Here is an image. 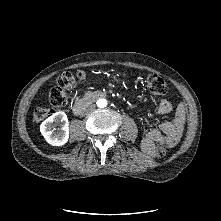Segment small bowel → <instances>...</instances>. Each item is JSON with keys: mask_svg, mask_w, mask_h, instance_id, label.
Here are the masks:
<instances>
[{"mask_svg": "<svg viewBox=\"0 0 221 221\" xmlns=\"http://www.w3.org/2000/svg\"><path fill=\"white\" fill-rule=\"evenodd\" d=\"M172 109L171 103L166 99H161L158 106V115L165 116ZM185 120V107L178 105L175 118L172 121H165L160 124L159 129L151 128L147 131L142 139V148L148 154H153L155 150V143L160 142L161 132L168 134L175 144L181 136L183 125Z\"/></svg>", "mask_w": 221, "mask_h": 221, "instance_id": "obj_1", "label": "small bowel"}]
</instances>
